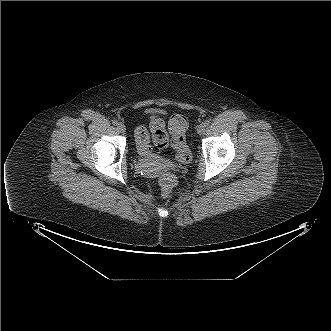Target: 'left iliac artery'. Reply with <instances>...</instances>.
Listing matches in <instances>:
<instances>
[{"label":"left iliac artery","mask_w":331,"mask_h":331,"mask_svg":"<svg viewBox=\"0 0 331 331\" xmlns=\"http://www.w3.org/2000/svg\"><path fill=\"white\" fill-rule=\"evenodd\" d=\"M209 124H210L209 120H205L204 125L209 126Z\"/></svg>","instance_id":"1"}]
</instances>
